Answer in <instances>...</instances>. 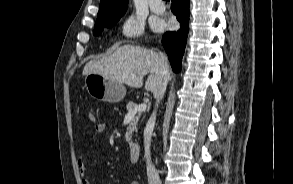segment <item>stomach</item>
Returning <instances> with one entry per match:
<instances>
[{
    "label": "stomach",
    "instance_id": "stomach-1",
    "mask_svg": "<svg viewBox=\"0 0 293 184\" xmlns=\"http://www.w3.org/2000/svg\"><path fill=\"white\" fill-rule=\"evenodd\" d=\"M85 87L92 98L108 103H118L126 95L122 82L96 73L85 76Z\"/></svg>",
    "mask_w": 293,
    "mask_h": 184
}]
</instances>
